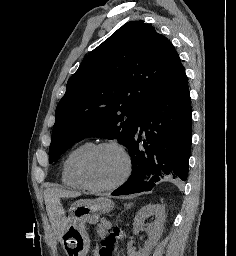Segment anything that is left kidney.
<instances>
[{
    "label": "left kidney",
    "mask_w": 236,
    "mask_h": 256,
    "mask_svg": "<svg viewBox=\"0 0 236 256\" xmlns=\"http://www.w3.org/2000/svg\"><path fill=\"white\" fill-rule=\"evenodd\" d=\"M155 216L153 224H148V230L151 232L150 238L144 244L143 250L136 252L133 248V242H129L127 246L128 256H150L151 250L157 246V242L162 236L163 226L165 222V206L155 204V206H144L139 210L134 218V234H138L139 228H142L145 218Z\"/></svg>",
    "instance_id": "obj_1"
}]
</instances>
